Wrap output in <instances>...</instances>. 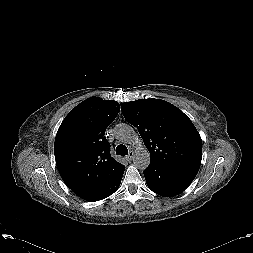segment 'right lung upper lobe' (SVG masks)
<instances>
[{"mask_svg": "<svg viewBox=\"0 0 253 253\" xmlns=\"http://www.w3.org/2000/svg\"><path fill=\"white\" fill-rule=\"evenodd\" d=\"M119 111L116 101L88 98L71 110L56 134L58 171L66 185L84 200L109 187L124 173L125 166L111 157L105 137L106 128Z\"/></svg>", "mask_w": 253, "mask_h": 253, "instance_id": "1", "label": "right lung upper lobe"}]
</instances>
